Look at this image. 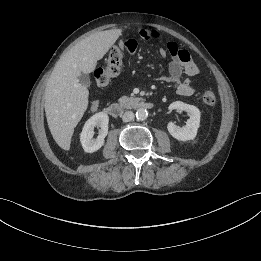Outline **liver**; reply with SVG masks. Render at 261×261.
I'll return each mask as SVG.
<instances>
[{
  "instance_id": "obj_1",
  "label": "liver",
  "mask_w": 261,
  "mask_h": 261,
  "mask_svg": "<svg viewBox=\"0 0 261 261\" xmlns=\"http://www.w3.org/2000/svg\"><path fill=\"white\" fill-rule=\"evenodd\" d=\"M121 29L95 33L72 47L56 63L45 88V113L56 143L69 150L74 128L88 107V89L79 76L94 71L121 35Z\"/></svg>"
}]
</instances>
